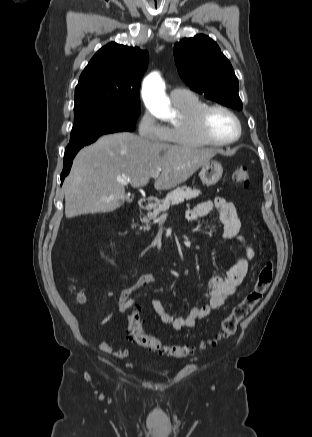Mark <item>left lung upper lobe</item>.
I'll use <instances>...</instances> for the list:
<instances>
[{"label": "left lung upper lobe", "instance_id": "left-lung-upper-lobe-1", "mask_svg": "<svg viewBox=\"0 0 312 437\" xmlns=\"http://www.w3.org/2000/svg\"><path fill=\"white\" fill-rule=\"evenodd\" d=\"M180 77L190 88L227 107L242 109L238 80L219 46L206 35L184 38L174 46Z\"/></svg>", "mask_w": 312, "mask_h": 437}]
</instances>
